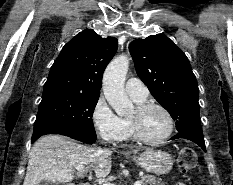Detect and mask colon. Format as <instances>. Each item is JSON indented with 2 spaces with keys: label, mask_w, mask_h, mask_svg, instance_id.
<instances>
[{
  "label": "colon",
  "mask_w": 233,
  "mask_h": 185,
  "mask_svg": "<svg viewBox=\"0 0 233 185\" xmlns=\"http://www.w3.org/2000/svg\"><path fill=\"white\" fill-rule=\"evenodd\" d=\"M196 163V153L191 147H183L178 156V168L182 173H187L193 169Z\"/></svg>",
  "instance_id": "5ec220e1"
}]
</instances>
